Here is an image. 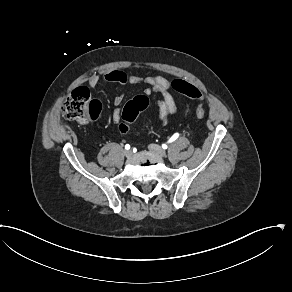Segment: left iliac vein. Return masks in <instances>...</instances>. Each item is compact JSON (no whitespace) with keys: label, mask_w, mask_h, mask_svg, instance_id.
Here are the masks:
<instances>
[{"label":"left iliac vein","mask_w":292,"mask_h":292,"mask_svg":"<svg viewBox=\"0 0 292 292\" xmlns=\"http://www.w3.org/2000/svg\"><path fill=\"white\" fill-rule=\"evenodd\" d=\"M148 149H149L151 152L157 154L158 156H160V157H162V158L166 156V151H165L162 147H160L159 145H156V144H150V145L148 146Z\"/></svg>","instance_id":"left-iliac-vein-1"}]
</instances>
